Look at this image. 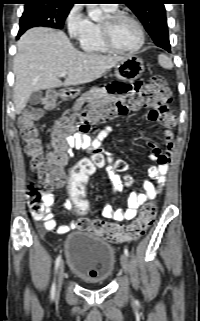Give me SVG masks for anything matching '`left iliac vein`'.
Instances as JSON below:
<instances>
[{
    "label": "left iliac vein",
    "instance_id": "left-iliac-vein-1",
    "mask_svg": "<svg viewBox=\"0 0 200 321\" xmlns=\"http://www.w3.org/2000/svg\"><path fill=\"white\" fill-rule=\"evenodd\" d=\"M121 266L125 273L129 272V260L125 254L121 255Z\"/></svg>",
    "mask_w": 200,
    "mask_h": 321
}]
</instances>
